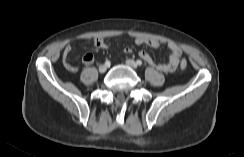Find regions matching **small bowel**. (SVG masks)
I'll return each mask as SVG.
<instances>
[{
	"mask_svg": "<svg viewBox=\"0 0 244 157\" xmlns=\"http://www.w3.org/2000/svg\"><path fill=\"white\" fill-rule=\"evenodd\" d=\"M136 45H147L151 48H158L161 46L160 42L154 39L147 38H136L134 40ZM93 45L99 49H109L110 46L105 42L103 38L97 37L93 40ZM166 47L170 51L169 59L167 62L156 63L153 58L145 51H140L139 56L142 58L148 65L155 67L157 70L164 73L174 72L180 62L182 51L178 45L173 42L166 44ZM73 52V47L71 44H68L64 49V56L71 55ZM124 52L127 54L132 53V49L129 47L124 48ZM85 65H91L94 62V56L92 53L88 52L83 56L82 59Z\"/></svg>",
	"mask_w": 244,
	"mask_h": 157,
	"instance_id": "c3829d8e",
	"label": "small bowel"
}]
</instances>
